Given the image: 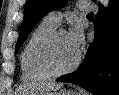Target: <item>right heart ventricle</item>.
<instances>
[{
	"mask_svg": "<svg viewBox=\"0 0 119 95\" xmlns=\"http://www.w3.org/2000/svg\"><path fill=\"white\" fill-rule=\"evenodd\" d=\"M56 28L57 25L44 18L30 34L20 57L22 78L24 80L38 81L50 77L39 65L38 50L46 36Z\"/></svg>",
	"mask_w": 119,
	"mask_h": 95,
	"instance_id": "obj_1",
	"label": "right heart ventricle"
}]
</instances>
